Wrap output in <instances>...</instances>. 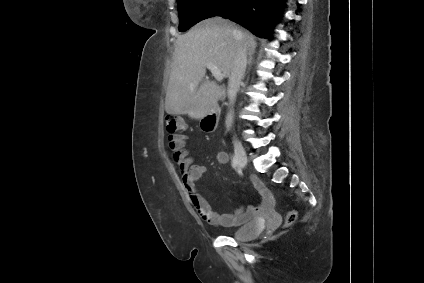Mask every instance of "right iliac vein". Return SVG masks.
<instances>
[{
    "instance_id": "63e3f726",
    "label": "right iliac vein",
    "mask_w": 424,
    "mask_h": 283,
    "mask_svg": "<svg viewBox=\"0 0 424 283\" xmlns=\"http://www.w3.org/2000/svg\"><path fill=\"white\" fill-rule=\"evenodd\" d=\"M235 148V157L237 159L238 165L241 168H244L247 165V156L245 150L240 142L237 140L234 141Z\"/></svg>"
}]
</instances>
